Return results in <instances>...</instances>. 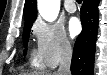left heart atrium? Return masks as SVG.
Here are the masks:
<instances>
[{"mask_svg":"<svg viewBox=\"0 0 107 75\" xmlns=\"http://www.w3.org/2000/svg\"><path fill=\"white\" fill-rule=\"evenodd\" d=\"M81 31V25L77 18H72L69 22V32L72 37L77 36Z\"/></svg>","mask_w":107,"mask_h":75,"instance_id":"1","label":"left heart atrium"}]
</instances>
